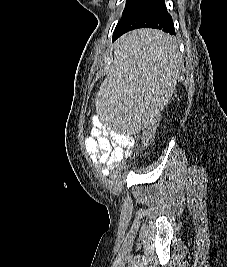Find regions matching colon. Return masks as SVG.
<instances>
[{
	"label": "colon",
	"mask_w": 227,
	"mask_h": 267,
	"mask_svg": "<svg viewBox=\"0 0 227 267\" xmlns=\"http://www.w3.org/2000/svg\"><path fill=\"white\" fill-rule=\"evenodd\" d=\"M162 114L159 113V115H152V120L148 125H145V130L142 131L143 139H141V142H137L136 149H139V151H142V149H145L146 144H148V140H155V131H159L160 127L159 125H162L161 120ZM125 161H123V171H134V164H137L139 161V153H130V155L125 156Z\"/></svg>",
	"instance_id": "1"
}]
</instances>
